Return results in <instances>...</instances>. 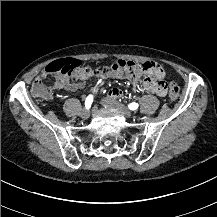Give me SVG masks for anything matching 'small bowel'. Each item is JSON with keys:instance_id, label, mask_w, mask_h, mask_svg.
I'll return each mask as SVG.
<instances>
[{"instance_id": "small-bowel-1", "label": "small bowel", "mask_w": 217, "mask_h": 217, "mask_svg": "<svg viewBox=\"0 0 217 217\" xmlns=\"http://www.w3.org/2000/svg\"><path fill=\"white\" fill-rule=\"evenodd\" d=\"M76 82L73 84V89L83 88L86 81L90 78L94 77L99 80H123L126 76L120 71H110L105 70L104 67L100 66L99 63L94 59H89L86 62V66L84 68V73L71 75ZM68 82V77L66 75H61L59 77V85H64ZM146 87L153 93L158 96H163L165 94V89L162 86H157L151 83H146ZM124 95V91L120 88H112L108 91L107 96L110 99L120 98Z\"/></svg>"}]
</instances>
